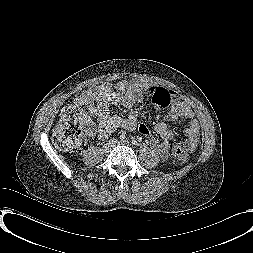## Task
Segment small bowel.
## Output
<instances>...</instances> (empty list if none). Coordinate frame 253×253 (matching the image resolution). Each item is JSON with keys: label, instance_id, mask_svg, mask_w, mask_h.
I'll return each mask as SVG.
<instances>
[{"label": "small bowel", "instance_id": "small-bowel-1", "mask_svg": "<svg viewBox=\"0 0 253 253\" xmlns=\"http://www.w3.org/2000/svg\"><path fill=\"white\" fill-rule=\"evenodd\" d=\"M118 87L119 91L113 90L108 85L83 90L69 107L81 111L86 116L90 129L95 126L94 120H96V134L100 138H107L118 128L126 130L137 128L142 136L147 137L151 133L149 126L147 124L138 125L137 113L132 109L135 104V93H144L151 96V103L157 109H166L171 106L164 119L158 121L154 126V131L160 137L159 141L152 143L154 151L162 159L168 158L173 145L172 140L175 137L168 124L177 121L187 122L184 131L185 140L180 143V146L186 152H192L197 147L199 124L192 109L183 98L173 95L166 88L141 80L122 81ZM119 103L130 109L125 117L112 112V107Z\"/></svg>", "mask_w": 253, "mask_h": 253}]
</instances>
